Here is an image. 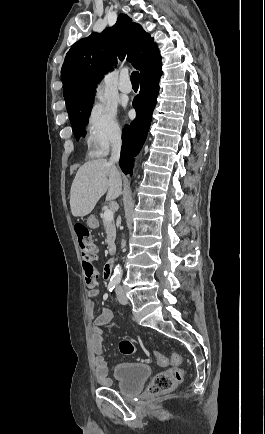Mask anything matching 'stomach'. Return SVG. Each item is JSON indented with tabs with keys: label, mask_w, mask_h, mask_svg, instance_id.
<instances>
[{
	"label": "stomach",
	"mask_w": 265,
	"mask_h": 434,
	"mask_svg": "<svg viewBox=\"0 0 265 434\" xmlns=\"http://www.w3.org/2000/svg\"><path fill=\"white\" fill-rule=\"evenodd\" d=\"M92 222H94V220H92V218H90V220H88V222H87L88 226H91ZM91 228H92V230L95 231V230H97L98 227H97V225L94 224V225H92Z\"/></svg>",
	"instance_id": "1"
}]
</instances>
